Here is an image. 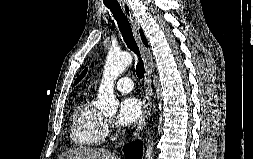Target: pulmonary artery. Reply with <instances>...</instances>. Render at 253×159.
Instances as JSON below:
<instances>
[{"label":"pulmonary artery","mask_w":253,"mask_h":159,"mask_svg":"<svg viewBox=\"0 0 253 159\" xmlns=\"http://www.w3.org/2000/svg\"><path fill=\"white\" fill-rule=\"evenodd\" d=\"M116 87L121 92H130L134 87V83L128 77H121L118 79Z\"/></svg>","instance_id":"obj_1"}]
</instances>
